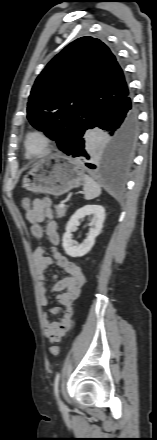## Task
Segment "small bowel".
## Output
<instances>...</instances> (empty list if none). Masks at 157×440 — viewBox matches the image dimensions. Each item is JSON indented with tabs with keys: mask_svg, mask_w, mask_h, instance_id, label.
I'll return each instance as SVG.
<instances>
[{
	"mask_svg": "<svg viewBox=\"0 0 157 440\" xmlns=\"http://www.w3.org/2000/svg\"><path fill=\"white\" fill-rule=\"evenodd\" d=\"M26 219L31 224L32 236L40 239L45 235L49 243L48 249L40 246L33 253V261L38 279V299L42 307H48L50 303V291L46 285L48 269L52 265H57L66 273V276L58 281L52 290L59 292L57 300L61 307L50 308L42 317L45 337L53 343L59 342L70 329L73 317V302L78 298L81 288L85 283V275L82 268L63 256L57 247L60 243V236L57 224L53 220L51 199H35L30 210L26 212ZM45 220H48V223L43 228L41 224ZM48 250L50 256L47 255ZM49 314L59 315V318L52 321Z\"/></svg>",
	"mask_w": 157,
	"mask_h": 440,
	"instance_id": "obj_1",
	"label": "small bowel"
}]
</instances>
